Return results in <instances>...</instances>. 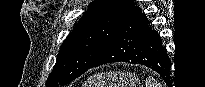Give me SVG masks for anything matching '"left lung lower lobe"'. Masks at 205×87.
Returning <instances> with one entry per match:
<instances>
[{"instance_id": "left-lung-lower-lobe-1", "label": "left lung lower lobe", "mask_w": 205, "mask_h": 87, "mask_svg": "<svg viewBox=\"0 0 205 87\" xmlns=\"http://www.w3.org/2000/svg\"><path fill=\"white\" fill-rule=\"evenodd\" d=\"M113 62L141 64L158 72L165 81L170 79L171 61L162 40L136 6L124 18L90 68Z\"/></svg>"}]
</instances>
